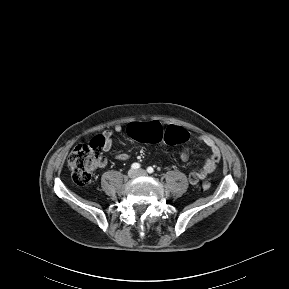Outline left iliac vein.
Here are the masks:
<instances>
[{
    "instance_id": "1",
    "label": "left iliac vein",
    "mask_w": 289,
    "mask_h": 289,
    "mask_svg": "<svg viewBox=\"0 0 289 289\" xmlns=\"http://www.w3.org/2000/svg\"><path fill=\"white\" fill-rule=\"evenodd\" d=\"M137 173H138L139 175H143V176L147 174L146 171L143 170V169L138 170Z\"/></svg>"
}]
</instances>
